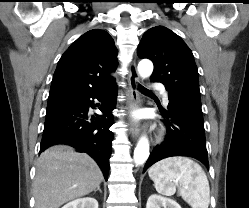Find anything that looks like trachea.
Returning <instances> with one entry per match:
<instances>
[{
  "label": "trachea",
  "mask_w": 249,
  "mask_h": 208,
  "mask_svg": "<svg viewBox=\"0 0 249 208\" xmlns=\"http://www.w3.org/2000/svg\"><path fill=\"white\" fill-rule=\"evenodd\" d=\"M143 90H144L145 92H147V93H150L148 90H145L144 88H143Z\"/></svg>",
  "instance_id": "3493384b"
}]
</instances>
